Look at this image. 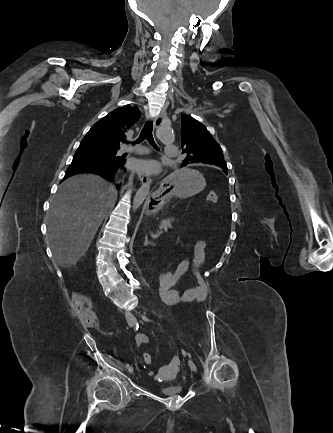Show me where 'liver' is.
<instances>
[{"instance_id":"6515ba94","label":"liver","mask_w":333,"mask_h":433,"mask_svg":"<svg viewBox=\"0 0 333 433\" xmlns=\"http://www.w3.org/2000/svg\"><path fill=\"white\" fill-rule=\"evenodd\" d=\"M115 200L114 186L94 174L75 175L61 184L48 213V238L56 264L76 265Z\"/></svg>"}]
</instances>
